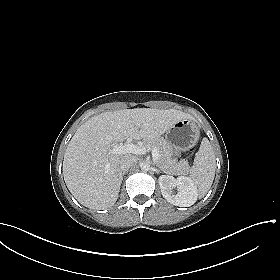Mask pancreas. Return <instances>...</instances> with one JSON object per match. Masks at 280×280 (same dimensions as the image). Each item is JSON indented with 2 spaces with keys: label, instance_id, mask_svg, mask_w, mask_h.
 I'll list each match as a JSON object with an SVG mask.
<instances>
[{
  "label": "pancreas",
  "instance_id": "pancreas-1",
  "mask_svg": "<svg viewBox=\"0 0 280 280\" xmlns=\"http://www.w3.org/2000/svg\"><path fill=\"white\" fill-rule=\"evenodd\" d=\"M145 146L152 150L156 147L159 151V158L156 165L165 173L172 175H185L189 171L188 162L185 160L177 161L172 157V146L162 138L145 140Z\"/></svg>",
  "mask_w": 280,
  "mask_h": 280
}]
</instances>
